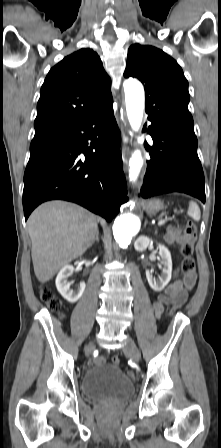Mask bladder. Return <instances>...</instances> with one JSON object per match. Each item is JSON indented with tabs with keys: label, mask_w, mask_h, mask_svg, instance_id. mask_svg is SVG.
Wrapping results in <instances>:
<instances>
[{
	"label": "bladder",
	"mask_w": 221,
	"mask_h": 448,
	"mask_svg": "<svg viewBox=\"0 0 221 448\" xmlns=\"http://www.w3.org/2000/svg\"><path fill=\"white\" fill-rule=\"evenodd\" d=\"M85 398L98 402H123L134 393L133 381L117 366L102 364L88 370L81 379Z\"/></svg>",
	"instance_id": "1"
}]
</instances>
